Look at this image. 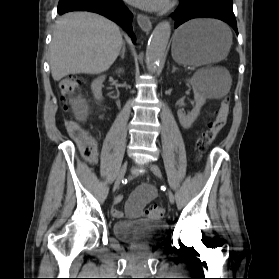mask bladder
<instances>
[{
	"mask_svg": "<svg viewBox=\"0 0 279 279\" xmlns=\"http://www.w3.org/2000/svg\"><path fill=\"white\" fill-rule=\"evenodd\" d=\"M168 229L166 223L151 219L119 221L113 226L116 238L143 247L159 244L166 237Z\"/></svg>",
	"mask_w": 279,
	"mask_h": 279,
	"instance_id": "31cf9c89",
	"label": "bladder"
}]
</instances>
